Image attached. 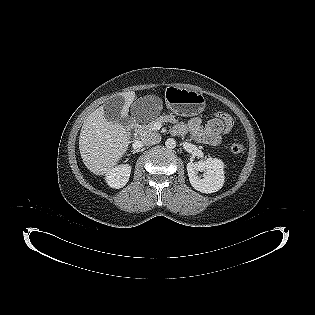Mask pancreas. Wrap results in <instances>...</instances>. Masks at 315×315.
<instances>
[{"label": "pancreas", "instance_id": "pancreas-1", "mask_svg": "<svg viewBox=\"0 0 315 315\" xmlns=\"http://www.w3.org/2000/svg\"><path fill=\"white\" fill-rule=\"evenodd\" d=\"M155 122H172V123H176L177 120L175 119V117L173 115H164V116H160L157 119L151 121L149 124H144V125H140L138 127V133L140 135L141 138H144L148 135L151 134H157L154 129H153V125Z\"/></svg>", "mask_w": 315, "mask_h": 315}]
</instances>
